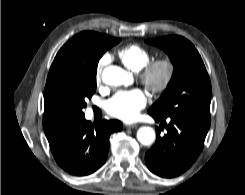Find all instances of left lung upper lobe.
Segmentation results:
<instances>
[{
	"label": "left lung upper lobe",
	"instance_id": "1",
	"mask_svg": "<svg viewBox=\"0 0 245 195\" xmlns=\"http://www.w3.org/2000/svg\"><path fill=\"white\" fill-rule=\"evenodd\" d=\"M146 42L163 49L174 66L166 90L148 113L162 118L175 115L210 120V79L193 44L181 36H165Z\"/></svg>",
	"mask_w": 245,
	"mask_h": 195
}]
</instances>
